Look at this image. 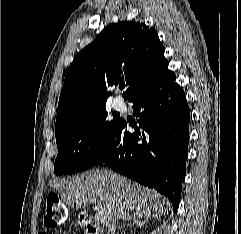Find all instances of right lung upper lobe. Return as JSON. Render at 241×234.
I'll use <instances>...</instances> for the list:
<instances>
[{
  "label": "right lung upper lobe",
  "instance_id": "1",
  "mask_svg": "<svg viewBox=\"0 0 241 234\" xmlns=\"http://www.w3.org/2000/svg\"><path fill=\"white\" fill-rule=\"evenodd\" d=\"M167 63L155 29L142 22L110 24L68 68L58 103L56 131L104 107L110 95L107 86L125 81L123 97L127 100Z\"/></svg>",
  "mask_w": 241,
  "mask_h": 234
}]
</instances>
